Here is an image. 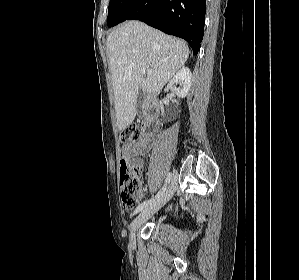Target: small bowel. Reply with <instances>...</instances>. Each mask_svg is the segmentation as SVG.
<instances>
[{
	"instance_id": "obj_1",
	"label": "small bowel",
	"mask_w": 299,
	"mask_h": 280,
	"mask_svg": "<svg viewBox=\"0 0 299 280\" xmlns=\"http://www.w3.org/2000/svg\"><path fill=\"white\" fill-rule=\"evenodd\" d=\"M154 139L151 134L144 133L141 140L138 143L131 144L122 148V153L125 157H137L148 152L153 146ZM140 167H142V160L135 161ZM144 193L140 192L139 198L142 199Z\"/></svg>"
}]
</instances>
